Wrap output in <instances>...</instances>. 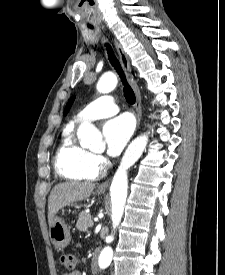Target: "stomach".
Instances as JSON below:
<instances>
[{
  "label": "stomach",
  "instance_id": "obj_1",
  "mask_svg": "<svg viewBox=\"0 0 225 275\" xmlns=\"http://www.w3.org/2000/svg\"><path fill=\"white\" fill-rule=\"evenodd\" d=\"M49 236L56 248H65L71 240L70 227L64 219L55 217L49 225Z\"/></svg>",
  "mask_w": 225,
  "mask_h": 275
}]
</instances>
